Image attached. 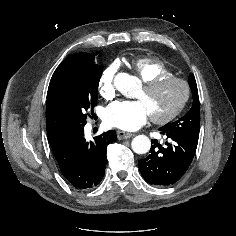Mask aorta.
<instances>
[{"label": "aorta", "mask_w": 236, "mask_h": 236, "mask_svg": "<svg viewBox=\"0 0 236 236\" xmlns=\"http://www.w3.org/2000/svg\"><path fill=\"white\" fill-rule=\"evenodd\" d=\"M116 87L124 96L132 97V91L137 88V83L131 76L122 74L116 80ZM131 147L135 153L145 154L151 148V141L145 135H138L133 138Z\"/></svg>", "instance_id": "1"}]
</instances>
